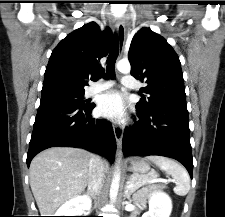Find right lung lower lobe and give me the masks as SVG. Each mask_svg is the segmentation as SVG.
<instances>
[{
    "label": "right lung lower lobe",
    "mask_w": 225,
    "mask_h": 217,
    "mask_svg": "<svg viewBox=\"0 0 225 217\" xmlns=\"http://www.w3.org/2000/svg\"><path fill=\"white\" fill-rule=\"evenodd\" d=\"M94 107L95 104L87 107L40 104L29 143L28 167L36 154L54 146L84 148L114 162L113 129L106 121L91 117Z\"/></svg>",
    "instance_id": "1"
}]
</instances>
